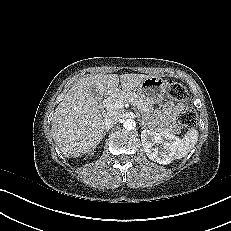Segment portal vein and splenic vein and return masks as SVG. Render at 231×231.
<instances>
[{"label":"portal vein and splenic vein","mask_w":231,"mask_h":231,"mask_svg":"<svg viewBox=\"0 0 231 231\" xmlns=\"http://www.w3.org/2000/svg\"><path fill=\"white\" fill-rule=\"evenodd\" d=\"M116 107L120 108V107H121V103L118 102V103L116 104Z\"/></svg>","instance_id":"obj_1"}]
</instances>
